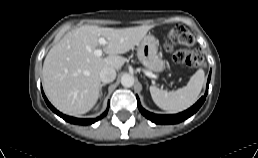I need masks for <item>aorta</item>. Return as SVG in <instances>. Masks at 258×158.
I'll use <instances>...</instances> for the list:
<instances>
[{
	"label": "aorta",
	"instance_id": "1",
	"mask_svg": "<svg viewBox=\"0 0 258 158\" xmlns=\"http://www.w3.org/2000/svg\"><path fill=\"white\" fill-rule=\"evenodd\" d=\"M134 77L130 74H124L122 77H121V84L124 86V87H132L134 85Z\"/></svg>",
	"mask_w": 258,
	"mask_h": 158
}]
</instances>
